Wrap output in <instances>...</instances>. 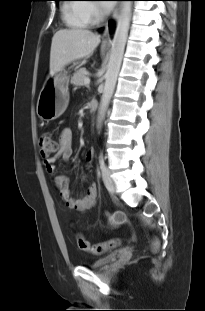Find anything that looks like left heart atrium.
Segmentation results:
<instances>
[{
    "instance_id": "39dd6f15",
    "label": "left heart atrium",
    "mask_w": 205,
    "mask_h": 311,
    "mask_svg": "<svg viewBox=\"0 0 205 311\" xmlns=\"http://www.w3.org/2000/svg\"><path fill=\"white\" fill-rule=\"evenodd\" d=\"M112 6H113L112 2H106L103 4V7L106 11H111Z\"/></svg>"
}]
</instances>
